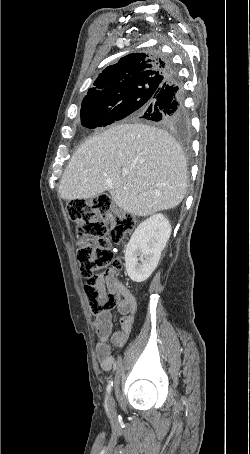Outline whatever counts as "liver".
Instances as JSON below:
<instances>
[{
  "instance_id": "liver-1",
  "label": "liver",
  "mask_w": 250,
  "mask_h": 454,
  "mask_svg": "<svg viewBox=\"0 0 250 454\" xmlns=\"http://www.w3.org/2000/svg\"><path fill=\"white\" fill-rule=\"evenodd\" d=\"M108 190L124 211L148 216L178 206L187 191V163L166 131L121 124L85 141L61 178L60 197L88 199Z\"/></svg>"
}]
</instances>
